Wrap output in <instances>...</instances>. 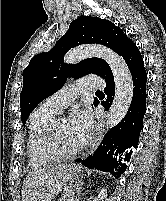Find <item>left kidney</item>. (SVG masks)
I'll use <instances>...</instances> for the list:
<instances>
[{
  "mask_svg": "<svg viewBox=\"0 0 166 201\" xmlns=\"http://www.w3.org/2000/svg\"><path fill=\"white\" fill-rule=\"evenodd\" d=\"M106 194H107V189L103 188L98 195V201H103L104 198H106Z\"/></svg>",
  "mask_w": 166,
  "mask_h": 201,
  "instance_id": "obj_1",
  "label": "left kidney"
}]
</instances>
